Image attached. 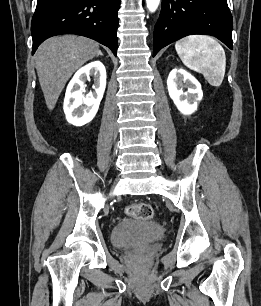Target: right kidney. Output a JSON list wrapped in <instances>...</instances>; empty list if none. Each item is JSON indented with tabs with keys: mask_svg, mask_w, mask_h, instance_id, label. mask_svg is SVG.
I'll return each instance as SVG.
<instances>
[{
	"mask_svg": "<svg viewBox=\"0 0 261 306\" xmlns=\"http://www.w3.org/2000/svg\"><path fill=\"white\" fill-rule=\"evenodd\" d=\"M94 78L95 93L86 97L82 91L85 80ZM106 87V70L100 61L91 62L80 68L67 86L64 99V113L69 123L83 126L89 123L96 115Z\"/></svg>",
	"mask_w": 261,
	"mask_h": 306,
	"instance_id": "right-kidney-1",
	"label": "right kidney"
}]
</instances>
